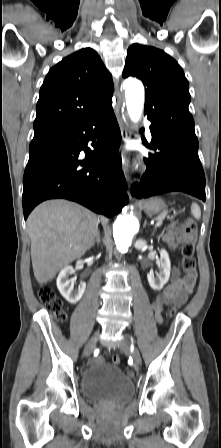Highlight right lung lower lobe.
I'll return each instance as SVG.
<instances>
[{"label": "right lung lower lobe", "mask_w": 221, "mask_h": 448, "mask_svg": "<svg viewBox=\"0 0 221 448\" xmlns=\"http://www.w3.org/2000/svg\"><path fill=\"white\" fill-rule=\"evenodd\" d=\"M90 141L92 148L87 146ZM120 141L112 102L33 139L23 177L24 218L37 204L52 198L76 201L108 217L119 213L129 201L118 154Z\"/></svg>", "instance_id": "right-lung-lower-lobe-1"}]
</instances>
